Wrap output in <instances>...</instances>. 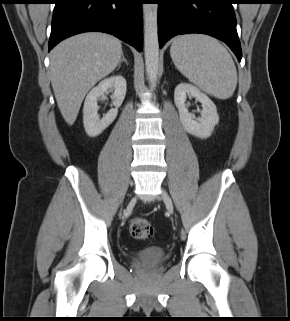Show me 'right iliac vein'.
I'll list each match as a JSON object with an SVG mask.
<instances>
[{
	"label": "right iliac vein",
	"mask_w": 290,
	"mask_h": 321,
	"mask_svg": "<svg viewBox=\"0 0 290 321\" xmlns=\"http://www.w3.org/2000/svg\"><path fill=\"white\" fill-rule=\"evenodd\" d=\"M134 202H135V200H134V199H132V201L130 202V205H133V204H134Z\"/></svg>",
	"instance_id": "1"
}]
</instances>
